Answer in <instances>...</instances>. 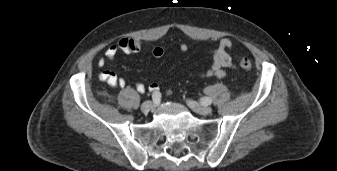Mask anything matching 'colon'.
<instances>
[{
    "label": "colon",
    "instance_id": "colon-1",
    "mask_svg": "<svg viewBox=\"0 0 337 171\" xmlns=\"http://www.w3.org/2000/svg\"><path fill=\"white\" fill-rule=\"evenodd\" d=\"M239 65L243 69H250L252 67V62L248 57L241 56L239 58Z\"/></svg>",
    "mask_w": 337,
    "mask_h": 171
}]
</instances>
